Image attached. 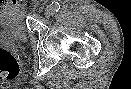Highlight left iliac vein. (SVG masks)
Segmentation results:
<instances>
[{
	"instance_id": "4c4485c4",
	"label": "left iliac vein",
	"mask_w": 131,
	"mask_h": 89,
	"mask_svg": "<svg viewBox=\"0 0 131 89\" xmlns=\"http://www.w3.org/2000/svg\"><path fill=\"white\" fill-rule=\"evenodd\" d=\"M52 13H53V9L51 7H47L45 9V13L44 14H45L46 17H50L52 15Z\"/></svg>"
}]
</instances>
